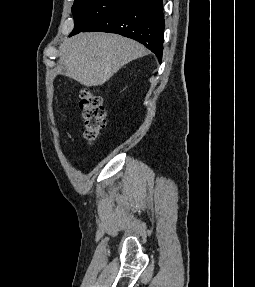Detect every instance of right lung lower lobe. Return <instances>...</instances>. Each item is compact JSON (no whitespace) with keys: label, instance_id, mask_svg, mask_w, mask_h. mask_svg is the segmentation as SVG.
<instances>
[{"label":"right lung lower lobe","instance_id":"1","mask_svg":"<svg viewBox=\"0 0 255 287\" xmlns=\"http://www.w3.org/2000/svg\"><path fill=\"white\" fill-rule=\"evenodd\" d=\"M162 0H133L108 13L82 32L117 33L139 41L161 62L164 42Z\"/></svg>","mask_w":255,"mask_h":287}]
</instances>
